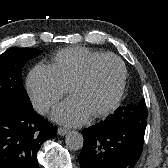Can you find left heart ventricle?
<instances>
[{
  "instance_id": "left-heart-ventricle-1",
  "label": "left heart ventricle",
  "mask_w": 168,
  "mask_h": 168,
  "mask_svg": "<svg viewBox=\"0 0 168 168\" xmlns=\"http://www.w3.org/2000/svg\"><path fill=\"white\" fill-rule=\"evenodd\" d=\"M120 77L119 64L113 59L103 60L94 68L90 78L76 87L72 94L79 97L91 113L100 111L114 98Z\"/></svg>"
}]
</instances>
